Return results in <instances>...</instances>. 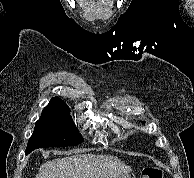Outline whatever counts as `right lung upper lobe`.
Here are the masks:
<instances>
[{"label": "right lung upper lobe", "instance_id": "cb5924a9", "mask_svg": "<svg viewBox=\"0 0 194 178\" xmlns=\"http://www.w3.org/2000/svg\"><path fill=\"white\" fill-rule=\"evenodd\" d=\"M45 108L61 110V111L69 113V108L67 104L63 100H61L59 97L52 98L48 106Z\"/></svg>", "mask_w": 194, "mask_h": 178}]
</instances>
